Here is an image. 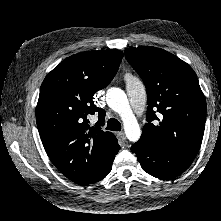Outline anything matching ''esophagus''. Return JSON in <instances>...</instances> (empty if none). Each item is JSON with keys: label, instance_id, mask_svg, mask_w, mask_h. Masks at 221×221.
<instances>
[{"label": "esophagus", "instance_id": "34e87169", "mask_svg": "<svg viewBox=\"0 0 221 221\" xmlns=\"http://www.w3.org/2000/svg\"><path fill=\"white\" fill-rule=\"evenodd\" d=\"M117 137L120 139V140H126V135L124 132H117Z\"/></svg>", "mask_w": 221, "mask_h": 221}]
</instances>
